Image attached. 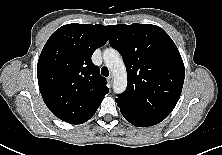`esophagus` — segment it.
I'll use <instances>...</instances> for the list:
<instances>
[{"mask_svg": "<svg viewBox=\"0 0 222 155\" xmlns=\"http://www.w3.org/2000/svg\"><path fill=\"white\" fill-rule=\"evenodd\" d=\"M108 81H109L110 84H112V82H113V76L112 75L108 77Z\"/></svg>", "mask_w": 222, "mask_h": 155, "instance_id": "34e87169", "label": "esophagus"}]
</instances>
